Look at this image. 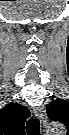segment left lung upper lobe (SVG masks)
<instances>
[{
    "instance_id": "obj_1",
    "label": "left lung upper lobe",
    "mask_w": 69,
    "mask_h": 135,
    "mask_svg": "<svg viewBox=\"0 0 69 135\" xmlns=\"http://www.w3.org/2000/svg\"><path fill=\"white\" fill-rule=\"evenodd\" d=\"M47 113L51 120L67 124L69 120V102L63 99L56 100L49 105Z\"/></svg>"
}]
</instances>
